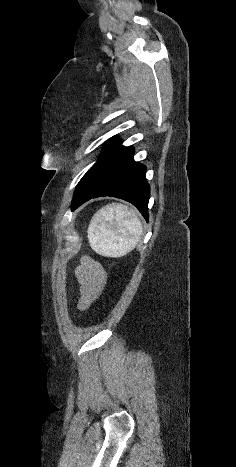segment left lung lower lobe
Wrapping results in <instances>:
<instances>
[{"mask_svg":"<svg viewBox=\"0 0 236 467\" xmlns=\"http://www.w3.org/2000/svg\"><path fill=\"white\" fill-rule=\"evenodd\" d=\"M133 153L131 147L116 141L74 193L72 210L92 198L112 196L132 203L148 220L150 186L146 181V167L134 161Z\"/></svg>","mask_w":236,"mask_h":467,"instance_id":"1","label":"left lung lower lobe"}]
</instances>
